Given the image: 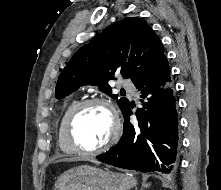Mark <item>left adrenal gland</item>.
Masks as SVG:
<instances>
[{
	"label": "left adrenal gland",
	"mask_w": 221,
	"mask_h": 190,
	"mask_svg": "<svg viewBox=\"0 0 221 190\" xmlns=\"http://www.w3.org/2000/svg\"><path fill=\"white\" fill-rule=\"evenodd\" d=\"M148 185L147 184H143L142 185V188L140 190H143L145 187H147Z\"/></svg>",
	"instance_id": "left-adrenal-gland-1"
}]
</instances>
